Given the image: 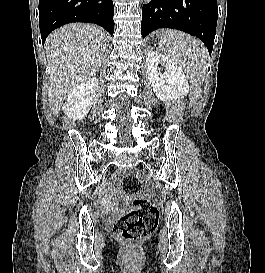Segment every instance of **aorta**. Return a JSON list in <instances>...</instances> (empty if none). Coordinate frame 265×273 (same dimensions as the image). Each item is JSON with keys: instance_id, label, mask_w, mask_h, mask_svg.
<instances>
[{"instance_id": "1", "label": "aorta", "mask_w": 265, "mask_h": 273, "mask_svg": "<svg viewBox=\"0 0 265 273\" xmlns=\"http://www.w3.org/2000/svg\"><path fill=\"white\" fill-rule=\"evenodd\" d=\"M151 0H143L144 3H149Z\"/></svg>"}]
</instances>
